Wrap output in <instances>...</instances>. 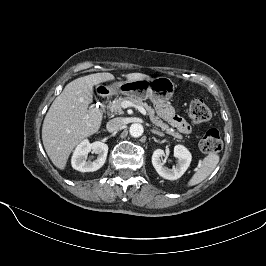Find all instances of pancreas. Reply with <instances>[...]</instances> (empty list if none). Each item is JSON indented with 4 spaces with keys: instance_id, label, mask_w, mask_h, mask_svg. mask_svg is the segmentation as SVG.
Returning a JSON list of instances; mask_svg holds the SVG:
<instances>
[{
    "instance_id": "1",
    "label": "pancreas",
    "mask_w": 266,
    "mask_h": 266,
    "mask_svg": "<svg viewBox=\"0 0 266 266\" xmlns=\"http://www.w3.org/2000/svg\"><path fill=\"white\" fill-rule=\"evenodd\" d=\"M125 100L131 101L133 104L142 106L149 115V118L151 122L157 126L160 127L163 131H165L167 134L172 135L173 137L177 139H182L183 136L176 132L174 129L170 128L169 125L164 123L158 116L155 115V110L149 106L146 102H142V100H139L137 98H134L132 96H127V97H119L114 99L112 102L108 104V109L115 114H123L122 106L121 103Z\"/></svg>"
}]
</instances>
